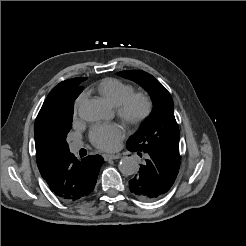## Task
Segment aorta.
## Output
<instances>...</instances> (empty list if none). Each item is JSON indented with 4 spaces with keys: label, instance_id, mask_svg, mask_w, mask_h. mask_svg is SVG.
<instances>
[{
    "label": "aorta",
    "instance_id": "obj_1",
    "mask_svg": "<svg viewBox=\"0 0 246 246\" xmlns=\"http://www.w3.org/2000/svg\"><path fill=\"white\" fill-rule=\"evenodd\" d=\"M103 112V105L98 99H87L81 103L78 109L80 118L88 122L100 120ZM118 167L120 172L125 175H133L139 169L137 160L131 156L123 157Z\"/></svg>",
    "mask_w": 246,
    "mask_h": 246
}]
</instances>
